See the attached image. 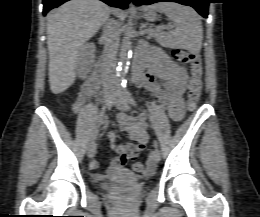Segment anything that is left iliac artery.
<instances>
[{
    "label": "left iliac artery",
    "instance_id": "obj_1",
    "mask_svg": "<svg viewBox=\"0 0 260 217\" xmlns=\"http://www.w3.org/2000/svg\"><path fill=\"white\" fill-rule=\"evenodd\" d=\"M122 86H123V92L125 93L126 97H127V100L128 102L133 105V106H136V101L134 100L133 96L129 93V91L126 89V83H122ZM153 146L155 148L158 147V142L156 140L153 141Z\"/></svg>",
    "mask_w": 260,
    "mask_h": 217
}]
</instances>
